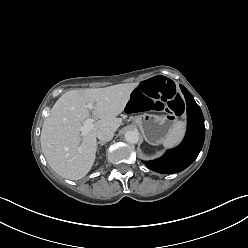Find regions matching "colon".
<instances>
[{"mask_svg": "<svg viewBox=\"0 0 248 248\" xmlns=\"http://www.w3.org/2000/svg\"><path fill=\"white\" fill-rule=\"evenodd\" d=\"M125 108L130 113L169 110L180 114L184 111V101L174 83L154 78L137 86Z\"/></svg>", "mask_w": 248, "mask_h": 248, "instance_id": "obj_1", "label": "colon"}]
</instances>
